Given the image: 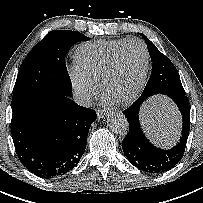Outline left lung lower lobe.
Listing matches in <instances>:
<instances>
[{
    "mask_svg": "<svg viewBox=\"0 0 203 203\" xmlns=\"http://www.w3.org/2000/svg\"><path fill=\"white\" fill-rule=\"evenodd\" d=\"M182 115V136L176 146L169 150L155 147L143 134L139 123V109L148 98L141 95L123 113L129 123V132L122 141L123 151L132 165L139 170L157 174L173 168L183 157L190 130V106L185 95L169 96Z\"/></svg>",
    "mask_w": 203,
    "mask_h": 203,
    "instance_id": "left-lung-lower-lobe-1",
    "label": "left lung lower lobe"
}]
</instances>
